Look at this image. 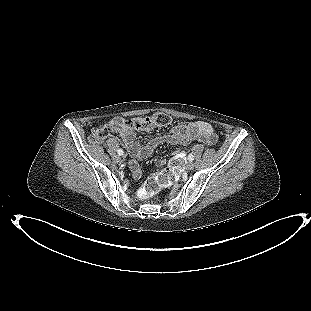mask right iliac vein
I'll return each mask as SVG.
<instances>
[{"label":"right iliac vein","instance_id":"1","mask_svg":"<svg viewBox=\"0 0 311 311\" xmlns=\"http://www.w3.org/2000/svg\"><path fill=\"white\" fill-rule=\"evenodd\" d=\"M113 160L118 163L120 162L121 158L119 156H115Z\"/></svg>","mask_w":311,"mask_h":311}]
</instances>
